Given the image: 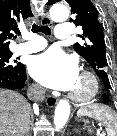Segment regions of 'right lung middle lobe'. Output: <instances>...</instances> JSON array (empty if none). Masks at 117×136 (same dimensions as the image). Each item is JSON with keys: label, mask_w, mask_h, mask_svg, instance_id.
I'll return each mask as SVG.
<instances>
[{"label": "right lung middle lobe", "mask_w": 117, "mask_h": 136, "mask_svg": "<svg viewBox=\"0 0 117 136\" xmlns=\"http://www.w3.org/2000/svg\"><path fill=\"white\" fill-rule=\"evenodd\" d=\"M11 56V52L0 53V70H15L22 65L16 60L13 61Z\"/></svg>", "instance_id": "right-lung-middle-lobe-1"}]
</instances>
